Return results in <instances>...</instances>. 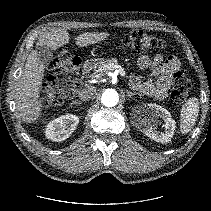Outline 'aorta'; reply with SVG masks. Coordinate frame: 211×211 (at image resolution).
<instances>
[{
    "label": "aorta",
    "instance_id": "obj_1",
    "mask_svg": "<svg viewBox=\"0 0 211 211\" xmlns=\"http://www.w3.org/2000/svg\"><path fill=\"white\" fill-rule=\"evenodd\" d=\"M119 102L118 92L114 89H106L101 96V103L106 107H114Z\"/></svg>",
    "mask_w": 211,
    "mask_h": 211
}]
</instances>
